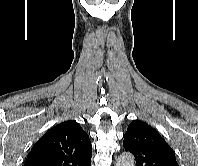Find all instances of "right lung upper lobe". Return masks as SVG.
<instances>
[{
    "label": "right lung upper lobe",
    "instance_id": "1",
    "mask_svg": "<svg viewBox=\"0 0 198 166\" xmlns=\"http://www.w3.org/2000/svg\"><path fill=\"white\" fill-rule=\"evenodd\" d=\"M89 135L76 123L62 122L32 147L24 166H91Z\"/></svg>",
    "mask_w": 198,
    "mask_h": 166
}]
</instances>
